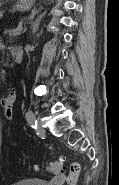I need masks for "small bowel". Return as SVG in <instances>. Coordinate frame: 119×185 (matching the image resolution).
<instances>
[{
	"label": "small bowel",
	"instance_id": "c3829d8e",
	"mask_svg": "<svg viewBox=\"0 0 119 185\" xmlns=\"http://www.w3.org/2000/svg\"><path fill=\"white\" fill-rule=\"evenodd\" d=\"M1 48H5L3 45ZM16 100V92L15 90L11 89L8 95L1 99L0 104L4 110V115L7 119H12L13 111H14V104ZM66 177L64 175H59L54 178V183L57 185L62 184L65 181Z\"/></svg>",
	"mask_w": 119,
	"mask_h": 185
}]
</instances>
